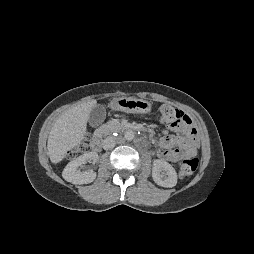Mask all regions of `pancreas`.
<instances>
[{
	"label": "pancreas",
	"mask_w": 254,
	"mask_h": 254,
	"mask_svg": "<svg viewBox=\"0 0 254 254\" xmlns=\"http://www.w3.org/2000/svg\"><path fill=\"white\" fill-rule=\"evenodd\" d=\"M108 125L110 127H114L115 129H119L121 127V124L117 121H109Z\"/></svg>",
	"instance_id": "obj_1"
}]
</instances>
